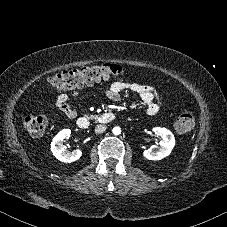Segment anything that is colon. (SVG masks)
<instances>
[{"label": "colon", "instance_id": "colon-1", "mask_svg": "<svg viewBox=\"0 0 227 227\" xmlns=\"http://www.w3.org/2000/svg\"><path fill=\"white\" fill-rule=\"evenodd\" d=\"M124 74L125 70L119 65L97 64L56 73L49 78V84L58 90H74L103 79L121 77ZM47 123L46 117L41 115H30L24 119L27 131L34 136L41 135L45 131ZM194 125L195 117L191 110L181 112L174 124L175 129L181 133L190 131Z\"/></svg>", "mask_w": 227, "mask_h": 227}]
</instances>
